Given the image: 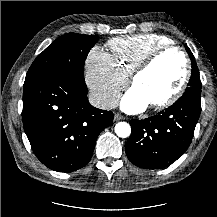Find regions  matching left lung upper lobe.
Listing matches in <instances>:
<instances>
[{
    "label": "left lung upper lobe",
    "instance_id": "left-lung-upper-lobe-1",
    "mask_svg": "<svg viewBox=\"0 0 217 217\" xmlns=\"http://www.w3.org/2000/svg\"><path fill=\"white\" fill-rule=\"evenodd\" d=\"M185 48L190 56V59L192 60V72H191L190 81L188 83V87L186 88L183 95H188L195 98H201V81L199 77V70L195 62V57L193 56L192 52L186 45Z\"/></svg>",
    "mask_w": 217,
    "mask_h": 217
}]
</instances>
